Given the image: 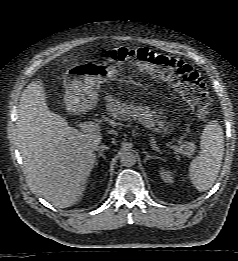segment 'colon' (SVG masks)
I'll return each mask as SVG.
<instances>
[{
	"mask_svg": "<svg viewBox=\"0 0 238 261\" xmlns=\"http://www.w3.org/2000/svg\"><path fill=\"white\" fill-rule=\"evenodd\" d=\"M103 57L171 82L199 119L206 120L210 117L212 102L205 83L199 73L185 61L146 48L126 47L107 49Z\"/></svg>",
	"mask_w": 238,
	"mask_h": 261,
	"instance_id": "5ec220e1",
	"label": "colon"
}]
</instances>
